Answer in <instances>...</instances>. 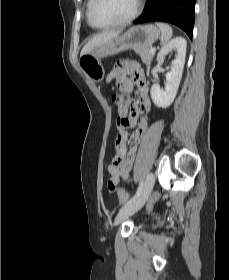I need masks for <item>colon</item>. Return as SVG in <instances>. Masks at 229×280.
Here are the masks:
<instances>
[{
  "instance_id": "colon-1",
  "label": "colon",
  "mask_w": 229,
  "mask_h": 280,
  "mask_svg": "<svg viewBox=\"0 0 229 280\" xmlns=\"http://www.w3.org/2000/svg\"><path fill=\"white\" fill-rule=\"evenodd\" d=\"M119 100L122 104L126 105L129 103V100L126 96H119ZM130 124V120L126 115L123 114H119L118 118H117V127L119 129V133H123L125 132V130L128 128ZM110 169L114 170V169H126V166L124 165V160L121 156H114L112 159V163L110 165ZM107 187L110 191L114 192L117 191L118 196H119V200L120 202H126L128 200V195L127 193L120 188H117V185L109 180L107 183Z\"/></svg>"
}]
</instances>
